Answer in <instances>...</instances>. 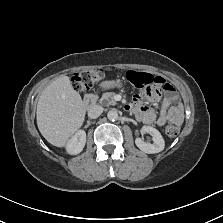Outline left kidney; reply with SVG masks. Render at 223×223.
I'll list each match as a JSON object with an SVG mask.
<instances>
[{
	"mask_svg": "<svg viewBox=\"0 0 223 223\" xmlns=\"http://www.w3.org/2000/svg\"><path fill=\"white\" fill-rule=\"evenodd\" d=\"M143 130L153 137V144H146L142 138L135 140L136 145L145 153H158L164 149V141L159 131L151 126H144Z\"/></svg>",
	"mask_w": 223,
	"mask_h": 223,
	"instance_id": "5707ae66",
	"label": "left kidney"
}]
</instances>
